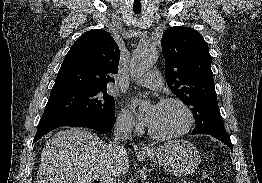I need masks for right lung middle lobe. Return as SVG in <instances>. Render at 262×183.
I'll use <instances>...</instances> for the list:
<instances>
[{"mask_svg":"<svg viewBox=\"0 0 262 183\" xmlns=\"http://www.w3.org/2000/svg\"><path fill=\"white\" fill-rule=\"evenodd\" d=\"M114 98L107 88H78L51 92L43 116L49 114H74L104 117L113 115Z\"/></svg>","mask_w":262,"mask_h":183,"instance_id":"obj_1","label":"right lung middle lobe"}]
</instances>
